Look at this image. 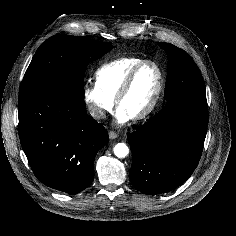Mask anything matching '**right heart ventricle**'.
Segmentation results:
<instances>
[{"label": "right heart ventricle", "instance_id": "1", "mask_svg": "<svg viewBox=\"0 0 236 236\" xmlns=\"http://www.w3.org/2000/svg\"><path fill=\"white\" fill-rule=\"evenodd\" d=\"M144 61L140 57H123L99 67L95 73V82L101 90L111 99L116 95L132 68Z\"/></svg>", "mask_w": 236, "mask_h": 236}]
</instances>
